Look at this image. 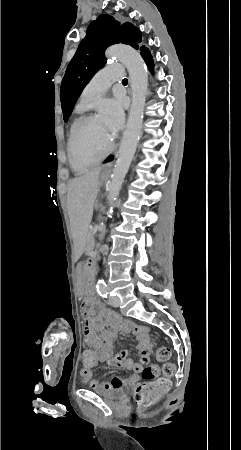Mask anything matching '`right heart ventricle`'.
Listing matches in <instances>:
<instances>
[{
	"label": "right heart ventricle",
	"instance_id": "obj_1",
	"mask_svg": "<svg viewBox=\"0 0 241 450\" xmlns=\"http://www.w3.org/2000/svg\"><path fill=\"white\" fill-rule=\"evenodd\" d=\"M109 125H110V124H109ZM69 144H71V143H69ZM70 158H71V157H70ZM80 158H81V157H78V161H80ZM78 161H77V162H78ZM77 162H74V163H77Z\"/></svg>",
	"mask_w": 241,
	"mask_h": 450
}]
</instances>
